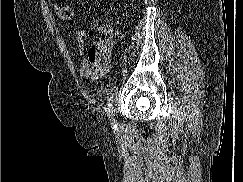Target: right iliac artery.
Instances as JSON below:
<instances>
[{"mask_svg":"<svg viewBox=\"0 0 243 182\" xmlns=\"http://www.w3.org/2000/svg\"><path fill=\"white\" fill-rule=\"evenodd\" d=\"M112 103H113V96H111L108 99L107 111H108L110 123H111L113 129L116 130L117 129V123H116V120L114 119V110H113Z\"/></svg>","mask_w":243,"mask_h":182,"instance_id":"82829eb1","label":"right iliac artery"}]
</instances>
